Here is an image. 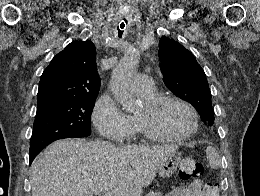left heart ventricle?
I'll list each match as a JSON object with an SVG mask.
<instances>
[{"label": "left heart ventricle", "instance_id": "b2bd125f", "mask_svg": "<svg viewBox=\"0 0 260 196\" xmlns=\"http://www.w3.org/2000/svg\"><path fill=\"white\" fill-rule=\"evenodd\" d=\"M145 120L152 128L165 135L180 136L188 132L193 126L191 112L179 103H169L158 112L151 114L145 109V105L136 114ZM106 192L111 190H98Z\"/></svg>", "mask_w": 260, "mask_h": 196}]
</instances>
